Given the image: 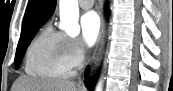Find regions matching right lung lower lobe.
Instances as JSON below:
<instances>
[{"mask_svg":"<svg viewBox=\"0 0 173 91\" xmlns=\"http://www.w3.org/2000/svg\"><path fill=\"white\" fill-rule=\"evenodd\" d=\"M95 83V80H91L90 83L88 84L89 88H92V85Z\"/></svg>","mask_w":173,"mask_h":91,"instance_id":"98d812e1","label":"right lung lower lobe"}]
</instances>
